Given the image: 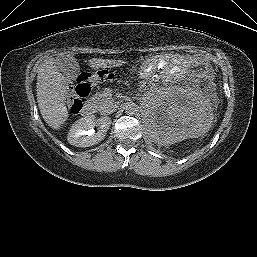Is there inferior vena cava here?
Instances as JSON below:
<instances>
[{
    "instance_id": "602c4592",
    "label": "inferior vena cava",
    "mask_w": 257,
    "mask_h": 257,
    "mask_svg": "<svg viewBox=\"0 0 257 257\" xmlns=\"http://www.w3.org/2000/svg\"><path fill=\"white\" fill-rule=\"evenodd\" d=\"M117 108H118V104L110 101L101 109V113L103 115L112 114L117 110Z\"/></svg>"
}]
</instances>
